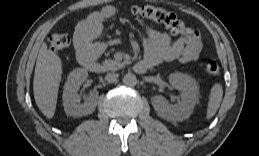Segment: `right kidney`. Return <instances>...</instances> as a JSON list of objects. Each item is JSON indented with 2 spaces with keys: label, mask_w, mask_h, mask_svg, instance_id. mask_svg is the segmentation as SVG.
I'll return each mask as SVG.
<instances>
[{
  "label": "right kidney",
  "mask_w": 259,
  "mask_h": 156,
  "mask_svg": "<svg viewBox=\"0 0 259 156\" xmlns=\"http://www.w3.org/2000/svg\"><path fill=\"white\" fill-rule=\"evenodd\" d=\"M87 77L88 72L85 69L77 68L70 72L67 78L63 92V106L68 116L82 117L91 114L97 106V90L91 91L85 102L80 103V96L77 92Z\"/></svg>",
  "instance_id": "1"
}]
</instances>
